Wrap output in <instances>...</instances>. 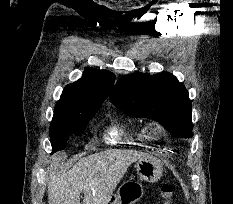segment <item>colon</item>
<instances>
[{
  "label": "colon",
  "instance_id": "5ec220e1",
  "mask_svg": "<svg viewBox=\"0 0 233 204\" xmlns=\"http://www.w3.org/2000/svg\"><path fill=\"white\" fill-rule=\"evenodd\" d=\"M159 204H173V186L171 184L162 186Z\"/></svg>",
  "mask_w": 233,
  "mask_h": 204
}]
</instances>
